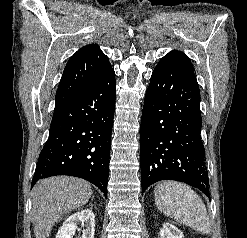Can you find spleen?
I'll return each instance as SVG.
<instances>
[{
	"label": "spleen",
	"instance_id": "3e777b00",
	"mask_svg": "<svg viewBox=\"0 0 247 238\" xmlns=\"http://www.w3.org/2000/svg\"><path fill=\"white\" fill-rule=\"evenodd\" d=\"M154 196L158 209L165 215L202 234L210 233L206 207L200 196L189 186L164 181L156 186Z\"/></svg>",
	"mask_w": 247,
	"mask_h": 238
}]
</instances>
